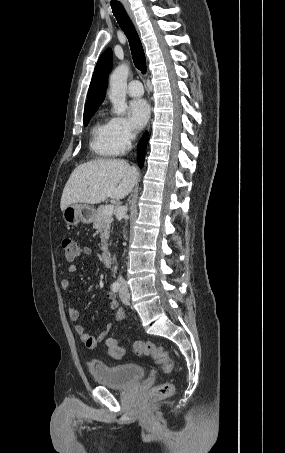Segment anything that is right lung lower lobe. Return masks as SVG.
<instances>
[{
	"mask_svg": "<svg viewBox=\"0 0 285 453\" xmlns=\"http://www.w3.org/2000/svg\"><path fill=\"white\" fill-rule=\"evenodd\" d=\"M148 141V132H145L144 135L142 136L141 140L138 143V164L140 167L143 166L144 164V157H145V149H146V144Z\"/></svg>",
	"mask_w": 285,
	"mask_h": 453,
	"instance_id": "right-lung-lower-lobe-1",
	"label": "right lung lower lobe"
}]
</instances>
